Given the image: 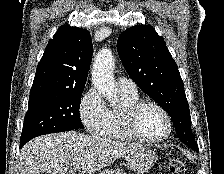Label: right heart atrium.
I'll list each match as a JSON object with an SVG mask.
<instances>
[{
  "label": "right heart atrium",
  "instance_id": "d8ad5b80",
  "mask_svg": "<svg viewBox=\"0 0 224 174\" xmlns=\"http://www.w3.org/2000/svg\"><path fill=\"white\" fill-rule=\"evenodd\" d=\"M107 107L95 88L83 95L79 104L80 119L85 128L94 135H100L107 121Z\"/></svg>",
  "mask_w": 224,
  "mask_h": 174
}]
</instances>
